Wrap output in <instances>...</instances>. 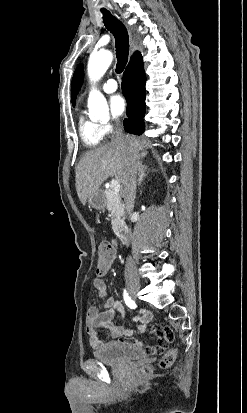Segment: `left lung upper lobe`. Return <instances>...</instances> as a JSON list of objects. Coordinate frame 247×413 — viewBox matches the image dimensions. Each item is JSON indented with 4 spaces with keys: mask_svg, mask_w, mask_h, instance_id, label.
<instances>
[{
    "mask_svg": "<svg viewBox=\"0 0 247 413\" xmlns=\"http://www.w3.org/2000/svg\"><path fill=\"white\" fill-rule=\"evenodd\" d=\"M82 82H83V65L80 64L74 72L72 84H71V101H72L73 106H75L76 97L81 88Z\"/></svg>",
    "mask_w": 247,
    "mask_h": 413,
    "instance_id": "1",
    "label": "left lung upper lobe"
}]
</instances>
